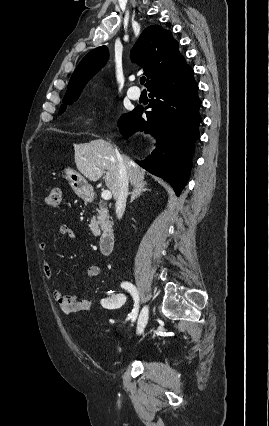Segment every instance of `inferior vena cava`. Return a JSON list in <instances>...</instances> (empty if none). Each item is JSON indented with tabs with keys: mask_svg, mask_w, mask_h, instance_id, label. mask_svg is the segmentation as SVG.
<instances>
[{
	"mask_svg": "<svg viewBox=\"0 0 269 426\" xmlns=\"http://www.w3.org/2000/svg\"><path fill=\"white\" fill-rule=\"evenodd\" d=\"M116 152H117L119 171H118V190L115 197L116 199L115 207H116L117 217L120 219L122 218L126 208L129 180H128L127 169L124 163V159L118 151Z\"/></svg>",
	"mask_w": 269,
	"mask_h": 426,
	"instance_id": "inferior-vena-cava-1",
	"label": "inferior vena cava"
}]
</instances>
